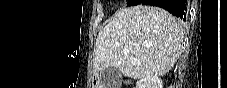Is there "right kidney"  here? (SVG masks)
Here are the masks:
<instances>
[{
	"label": "right kidney",
	"instance_id": "right-kidney-1",
	"mask_svg": "<svg viewBox=\"0 0 227 88\" xmlns=\"http://www.w3.org/2000/svg\"><path fill=\"white\" fill-rule=\"evenodd\" d=\"M136 88H163L162 80L158 76H148L136 83Z\"/></svg>",
	"mask_w": 227,
	"mask_h": 88
}]
</instances>
